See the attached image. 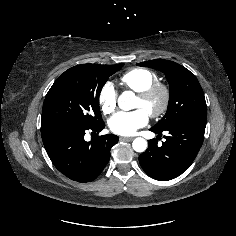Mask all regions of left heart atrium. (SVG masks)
I'll list each match as a JSON object with an SVG mask.
<instances>
[{"instance_id": "39dd6f15", "label": "left heart atrium", "mask_w": 236, "mask_h": 236, "mask_svg": "<svg viewBox=\"0 0 236 236\" xmlns=\"http://www.w3.org/2000/svg\"><path fill=\"white\" fill-rule=\"evenodd\" d=\"M149 120V114L143 108L131 112H118L108 121L110 130L118 135L129 136L144 127Z\"/></svg>"}]
</instances>
